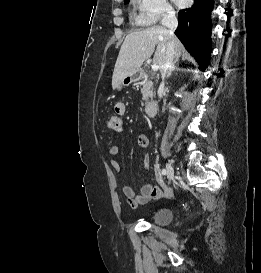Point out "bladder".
Here are the masks:
<instances>
[{"label": "bladder", "mask_w": 261, "mask_h": 273, "mask_svg": "<svg viewBox=\"0 0 261 273\" xmlns=\"http://www.w3.org/2000/svg\"><path fill=\"white\" fill-rule=\"evenodd\" d=\"M171 211L168 208H160L151 215V222L157 225H165L171 220Z\"/></svg>", "instance_id": "obj_1"}]
</instances>
